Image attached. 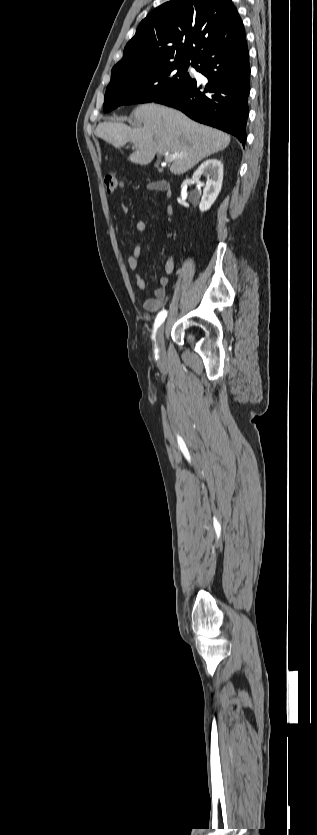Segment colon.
Returning a JSON list of instances; mask_svg holds the SVG:
<instances>
[{"label":"colon","instance_id":"colon-1","mask_svg":"<svg viewBox=\"0 0 317 835\" xmlns=\"http://www.w3.org/2000/svg\"><path fill=\"white\" fill-rule=\"evenodd\" d=\"M105 185L108 192H114L122 186V183L118 176L109 174L105 177Z\"/></svg>","mask_w":317,"mask_h":835}]
</instances>
